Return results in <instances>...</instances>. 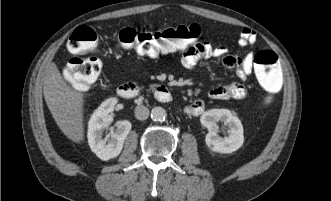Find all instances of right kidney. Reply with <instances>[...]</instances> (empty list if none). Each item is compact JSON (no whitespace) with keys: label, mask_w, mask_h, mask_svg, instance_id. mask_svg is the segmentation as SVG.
<instances>
[{"label":"right kidney","mask_w":331,"mask_h":201,"mask_svg":"<svg viewBox=\"0 0 331 201\" xmlns=\"http://www.w3.org/2000/svg\"><path fill=\"white\" fill-rule=\"evenodd\" d=\"M117 103L116 98L105 100L91 115L88 122V143L91 150L103 161L117 157L123 148L124 141L131 131V123L127 120L118 121L116 132L110 137L103 138V132L108 128L109 113L113 112Z\"/></svg>","instance_id":"obj_1"}]
</instances>
